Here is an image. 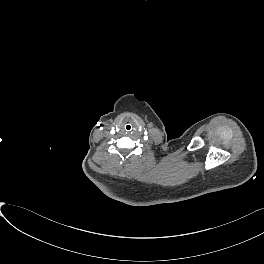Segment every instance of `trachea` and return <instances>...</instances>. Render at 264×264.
<instances>
[{"label":"trachea","mask_w":264,"mask_h":264,"mask_svg":"<svg viewBox=\"0 0 264 264\" xmlns=\"http://www.w3.org/2000/svg\"><path fill=\"white\" fill-rule=\"evenodd\" d=\"M132 129H133V125H132V123H130V122H125V123L123 124V131H124V132H126V133L131 132Z\"/></svg>","instance_id":"3493384b"}]
</instances>
